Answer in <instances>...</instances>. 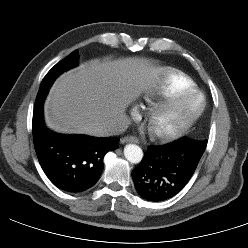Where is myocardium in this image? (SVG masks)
Segmentation results:
<instances>
[{
    "label": "myocardium",
    "mask_w": 248,
    "mask_h": 248,
    "mask_svg": "<svg viewBox=\"0 0 248 248\" xmlns=\"http://www.w3.org/2000/svg\"><path fill=\"white\" fill-rule=\"evenodd\" d=\"M193 95L201 97L199 107L187 117L180 120L175 126L167 129L158 128V123L172 116L180 104ZM206 107V97L197 89H189L172 95L155 106L147 119V126L151 134L162 141H171L183 136L201 117Z\"/></svg>",
    "instance_id": "1"
}]
</instances>
